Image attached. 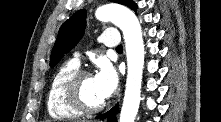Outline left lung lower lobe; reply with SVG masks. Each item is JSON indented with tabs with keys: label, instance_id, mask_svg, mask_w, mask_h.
Returning <instances> with one entry per match:
<instances>
[{
	"label": "left lung lower lobe",
	"instance_id": "1",
	"mask_svg": "<svg viewBox=\"0 0 221 122\" xmlns=\"http://www.w3.org/2000/svg\"><path fill=\"white\" fill-rule=\"evenodd\" d=\"M132 10L136 11L137 10V5L135 4L134 7L132 8ZM118 104H116L111 110H109L108 112L99 115L97 118L98 119H108V122H116V113L118 110Z\"/></svg>",
	"mask_w": 221,
	"mask_h": 122
}]
</instances>
